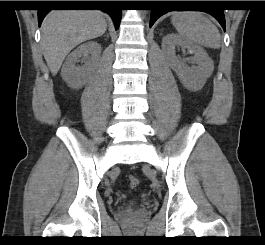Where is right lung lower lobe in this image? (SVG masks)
Instances as JSON below:
<instances>
[{
	"label": "right lung lower lobe",
	"instance_id": "obj_1",
	"mask_svg": "<svg viewBox=\"0 0 265 245\" xmlns=\"http://www.w3.org/2000/svg\"><path fill=\"white\" fill-rule=\"evenodd\" d=\"M64 6V5H58ZM81 6L99 7L100 10L108 13L115 24L116 29L119 28L121 20V9L118 7V1H93V3H81ZM49 9L38 10V24L41 25L44 17L49 12Z\"/></svg>",
	"mask_w": 265,
	"mask_h": 245
}]
</instances>
